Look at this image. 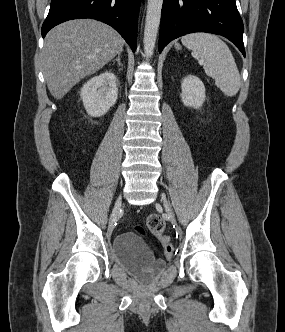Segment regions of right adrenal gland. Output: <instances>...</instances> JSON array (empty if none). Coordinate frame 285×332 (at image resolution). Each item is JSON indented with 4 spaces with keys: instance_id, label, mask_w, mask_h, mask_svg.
Returning a JSON list of instances; mask_svg holds the SVG:
<instances>
[{
    "instance_id": "right-adrenal-gland-1",
    "label": "right adrenal gland",
    "mask_w": 285,
    "mask_h": 332,
    "mask_svg": "<svg viewBox=\"0 0 285 332\" xmlns=\"http://www.w3.org/2000/svg\"><path fill=\"white\" fill-rule=\"evenodd\" d=\"M121 54H118L117 58L114 61H117L119 66H122L121 60H120Z\"/></svg>"
}]
</instances>
